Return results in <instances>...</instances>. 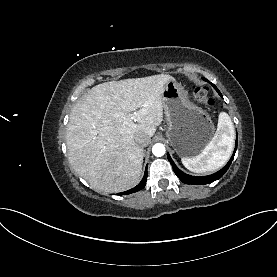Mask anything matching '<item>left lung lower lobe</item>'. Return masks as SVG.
Wrapping results in <instances>:
<instances>
[{"label":"left lung lower lobe","instance_id":"0a47b994","mask_svg":"<svg viewBox=\"0 0 277 277\" xmlns=\"http://www.w3.org/2000/svg\"><path fill=\"white\" fill-rule=\"evenodd\" d=\"M203 80L208 81L205 78H203ZM212 86L219 93V95L222 96L220 91L217 89V87L214 84H212ZM236 149H237V139H236V146H235L234 153H233L231 159L229 160V162L227 163V165L224 168H222L220 171H218V172H216V173H214L212 175L201 176V177H196V176H191V175L185 174L180 169H178V167L175 165V163L173 162V160L171 159L169 154H167V157H168V160L170 161V163H171V165L173 167V170H174L175 174L177 175V177L182 182H184L186 184L203 185V184L212 183V182L218 180L219 178H221L225 174V172L228 170V168H229V166H230V164H231V162H232V160L234 158Z\"/></svg>","mask_w":277,"mask_h":277}]
</instances>
